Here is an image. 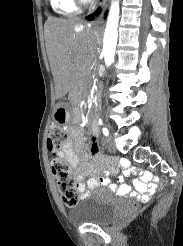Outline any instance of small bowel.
I'll use <instances>...</instances> for the list:
<instances>
[{
  "label": "small bowel",
  "mask_w": 183,
  "mask_h": 246,
  "mask_svg": "<svg viewBox=\"0 0 183 246\" xmlns=\"http://www.w3.org/2000/svg\"><path fill=\"white\" fill-rule=\"evenodd\" d=\"M91 131L93 136L99 133L98 125L92 124ZM58 156L69 162L74 171V177L77 182L78 191L81 193L82 199L88 197L87 189H93L99 185L107 186L118 195L130 197H142L143 199L153 198V194H157L156 182H161V177L158 174H153L152 170L129 169L131 163L126 159L118 160V165L123 169V174H141L139 179H136L133 190L130 185L122 183V178L118 183H112L110 174L115 171V168L110 167L102 176H91L87 182L83 181L85 176H88L94 164L99 162V157L89 155L86 152V147L82 140L81 133L74 128L68 130V138L58 152Z\"/></svg>",
  "instance_id": "1"
}]
</instances>
